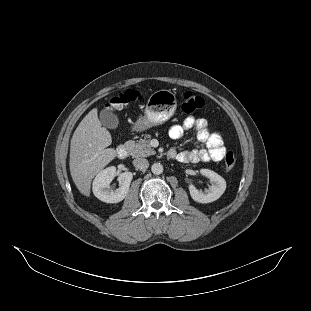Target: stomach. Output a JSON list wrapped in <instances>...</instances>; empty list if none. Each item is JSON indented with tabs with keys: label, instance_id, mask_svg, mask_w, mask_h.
<instances>
[{
	"label": "stomach",
	"instance_id": "obj_1",
	"mask_svg": "<svg viewBox=\"0 0 311 311\" xmlns=\"http://www.w3.org/2000/svg\"><path fill=\"white\" fill-rule=\"evenodd\" d=\"M176 105V97L171 91L155 92L148 99L145 115L137 121L135 128L144 129L166 122L173 116Z\"/></svg>",
	"mask_w": 311,
	"mask_h": 311
}]
</instances>
